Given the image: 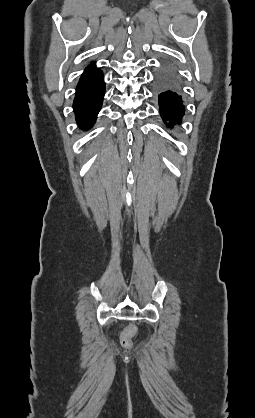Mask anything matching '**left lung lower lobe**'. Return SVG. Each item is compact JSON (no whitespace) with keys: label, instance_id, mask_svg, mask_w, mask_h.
Segmentation results:
<instances>
[{"label":"left lung lower lobe","instance_id":"0a47b994","mask_svg":"<svg viewBox=\"0 0 255 418\" xmlns=\"http://www.w3.org/2000/svg\"><path fill=\"white\" fill-rule=\"evenodd\" d=\"M158 98L163 120L168 121L170 127L179 124L185 107L175 71L170 67H166L160 75Z\"/></svg>","mask_w":255,"mask_h":418}]
</instances>
